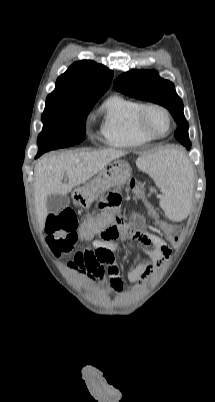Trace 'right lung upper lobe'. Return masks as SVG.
Wrapping results in <instances>:
<instances>
[{
  "instance_id": "obj_1",
  "label": "right lung upper lobe",
  "mask_w": 215,
  "mask_h": 402,
  "mask_svg": "<svg viewBox=\"0 0 215 402\" xmlns=\"http://www.w3.org/2000/svg\"><path fill=\"white\" fill-rule=\"evenodd\" d=\"M113 71L91 60L73 63L56 81L55 90L47 99L100 98L108 89Z\"/></svg>"
}]
</instances>
